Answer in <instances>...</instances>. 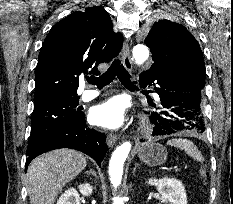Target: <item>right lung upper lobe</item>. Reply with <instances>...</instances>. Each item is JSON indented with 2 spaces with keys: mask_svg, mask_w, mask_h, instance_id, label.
Listing matches in <instances>:
<instances>
[{
  "mask_svg": "<svg viewBox=\"0 0 233 204\" xmlns=\"http://www.w3.org/2000/svg\"><path fill=\"white\" fill-rule=\"evenodd\" d=\"M122 43V35L113 31L109 14L100 6L76 11L56 23L39 54L34 103L78 96L79 76L98 72L97 66L117 56Z\"/></svg>",
  "mask_w": 233,
  "mask_h": 204,
  "instance_id": "right-lung-upper-lobe-1",
  "label": "right lung upper lobe"
}]
</instances>
